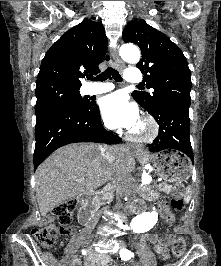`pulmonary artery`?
Segmentation results:
<instances>
[{"label":"pulmonary artery","mask_w":221,"mask_h":266,"mask_svg":"<svg viewBox=\"0 0 221 266\" xmlns=\"http://www.w3.org/2000/svg\"><path fill=\"white\" fill-rule=\"evenodd\" d=\"M144 73L137 67H129L125 73V79L131 83H139L142 81ZM113 89L112 84L103 83L88 89L89 94H102Z\"/></svg>","instance_id":"pulmonary-artery-1"}]
</instances>
